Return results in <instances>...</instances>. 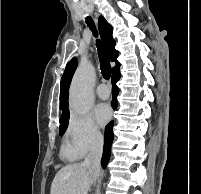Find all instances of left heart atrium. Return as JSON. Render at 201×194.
<instances>
[{
	"instance_id": "left-heart-atrium-1",
	"label": "left heart atrium",
	"mask_w": 201,
	"mask_h": 194,
	"mask_svg": "<svg viewBox=\"0 0 201 194\" xmlns=\"http://www.w3.org/2000/svg\"><path fill=\"white\" fill-rule=\"evenodd\" d=\"M94 114L97 122L103 126L111 117V109L106 104H100L96 107Z\"/></svg>"
}]
</instances>
